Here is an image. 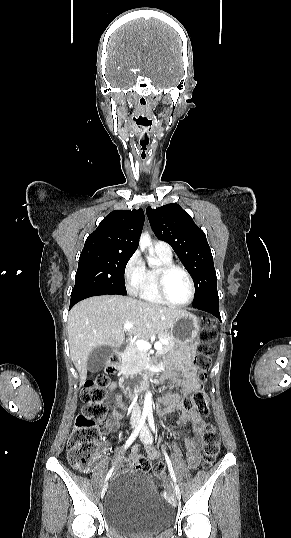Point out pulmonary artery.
Listing matches in <instances>:
<instances>
[{
    "label": "pulmonary artery",
    "mask_w": 291,
    "mask_h": 538,
    "mask_svg": "<svg viewBox=\"0 0 291 538\" xmlns=\"http://www.w3.org/2000/svg\"><path fill=\"white\" fill-rule=\"evenodd\" d=\"M154 249L158 252H161L163 254H166V255H169L171 256L172 255V249L170 247V245L166 242H163V241H156L154 243Z\"/></svg>",
    "instance_id": "e3ab8cb5"
}]
</instances>
